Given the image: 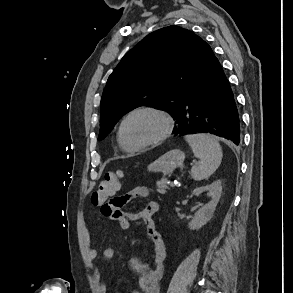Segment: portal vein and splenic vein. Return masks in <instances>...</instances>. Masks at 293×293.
<instances>
[{
  "label": "portal vein and splenic vein",
  "instance_id": "portal-vein-and-splenic-vein-1",
  "mask_svg": "<svg viewBox=\"0 0 293 293\" xmlns=\"http://www.w3.org/2000/svg\"><path fill=\"white\" fill-rule=\"evenodd\" d=\"M178 182L171 183V186H177Z\"/></svg>",
  "mask_w": 293,
  "mask_h": 293
}]
</instances>
